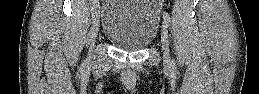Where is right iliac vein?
Returning <instances> with one entry per match:
<instances>
[{"instance_id":"63e3f726","label":"right iliac vein","mask_w":259,"mask_h":94,"mask_svg":"<svg viewBox=\"0 0 259 94\" xmlns=\"http://www.w3.org/2000/svg\"><path fill=\"white\" fill-rule=\"evenodd\" d=\"M98 31H99V9L96 6L94 8V13H93L92 33H91V40H92L91 47L96 40V37L98 35Z\"/></svg>"}]
</instances>
